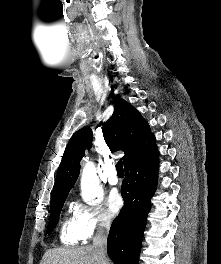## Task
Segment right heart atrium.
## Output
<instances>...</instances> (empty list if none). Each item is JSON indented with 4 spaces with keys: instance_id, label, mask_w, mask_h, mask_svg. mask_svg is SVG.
<instances>
[{
    "instance_id": "right-heart-atrium-1",
    "label": "right heart atrium",
    "mask_w": 221,
    "mask_h": 264,
    "mask_svg": "<svg viewBox=\"0 0 221 264\" xmlns=\"http://www.w3.org/2000/svg\"><path fill=\"white\" fill-rule=\"evenodd\" d=\"M73 217L77 231L83 240L111 226V219L102 207L80 201L75 203Z\"/></svg>"
}]
</instances>
